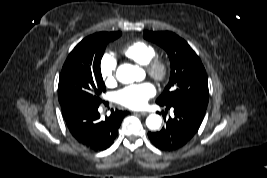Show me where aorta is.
<instances>
[{
  "instance_id": "762f6f07",
  "label": "aorta",
  "mask_w": 267,
  "mask_h": 178,
  "mask_svg": "<svg viewBox=\"0 0 267 178\" xmlns=\"http://www.w3.org/2000/svg\"><path fill=\"white\" fill-rule=\"evenodd\" d=\"M141 69L131 64L120 65L116 72L119 82L128 84L139 79ZM162 118L157 114H150L146 119V125L150 130H157L161 127Z\"/></svg>"
}]
</instances>
